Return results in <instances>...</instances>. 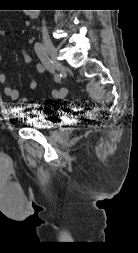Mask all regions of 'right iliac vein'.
<instances>
[{
    "mask_svg": "<svg viewBox=\"0 0 138 253\" xmlns=\"http://www.w3.org/2000/svg\"><path fill=\"white\" fill-rule=\"evenodd\" d=\"M43 46L46 52L48 53V55L50 56V58L52 59V61L54 62L56 69L59 70L61 67V64L57 61V49L55 45L48 37H45L43 39Z\"/></svg>",
    "mask_w": 138,
    "mask_h": 253,
    "instance_id": "1",
    "label": "right iliac vein"
}]
</instances>
